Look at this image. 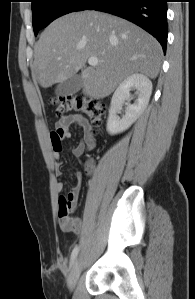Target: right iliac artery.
<instances>
[{
	"instance_id": "right-iliac-artery-1",
	"label": "right iliac artery",
	"mask_w": 195,
	"mask_h": 299,
	"mask_svg": "<svg viewBox=\"0 0 195 299\" xmlns=\"http://www.w3.org/2000/svg\"><path fill=\"white\" fill-rule=\"evenodd\" d=\"M78 252H79V247L76 246L71 253L70 265H72L74 263V260L76 259L77 255H78Z\"/></svg>"
}]
</instances>
